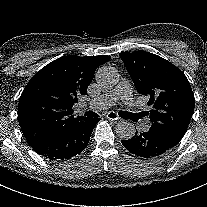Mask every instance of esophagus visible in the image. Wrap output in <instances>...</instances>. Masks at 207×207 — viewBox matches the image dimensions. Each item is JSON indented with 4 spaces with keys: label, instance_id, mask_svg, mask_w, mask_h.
<instances>
[{
    "label": "esophagus",
    "instance_id": "1",
    "mask_svg": "<svg viewBox=\"0 0 207 207\" xmlns=\"http://www.w3.org/2000/svg\"><path fill=\"white\" fill-rule=\"evenodd\" d=\"M106 118L109 119V120H113V121H116L119 119V116L116 112L114 111H109L107 114H106Z\"/></svg>",
    "mask_w": 207,
    "mask_h": 207
}]
</instances>
